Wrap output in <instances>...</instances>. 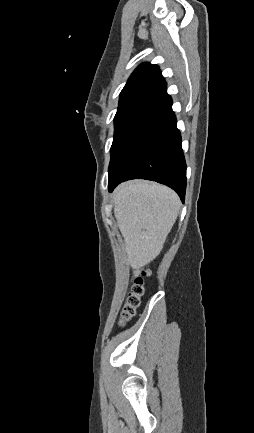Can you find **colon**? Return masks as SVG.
Masks as SVG:
<instances>
[{"label":"colon","mask_w":254,"mask_h":433,"mask_svg":"<svg viewBox=\"0 0 254 433\" xmlns=\"http://www.w3.org/2000/svg\"><path fill=\"white\" fill-rule=\"evenodd\" d=\"M147 271H142L141 276L137 277L135 283L128 294L125 305L121 311L120 323H125L134 315L136 308L140 303V297L144 292L143 277L147 275Z\"/></svg>","instance_id":"colon-1"}]
</instances>
